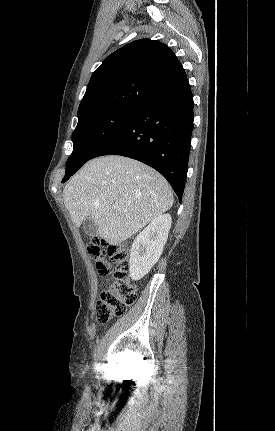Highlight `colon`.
<instances>
[{
  "mask_svg": "<svg viewBox=\"0 0 275 431\" xmlns=\"http://www.w3.org/2000/svg\"><path fill=\"white\" fill-rule=\"evenodd\" d=\"M88 253L95 260L100 275L114 276L95 308L96 321L105 323L123 315L137 299V288L128 274L130 251L125 245L109 246L103 239L94 237L88 245Z\"/></svg>",
  "mask_w": 275,
  "mask_h": 431,
  "instance_id": "obj_1",
  "label": "colon"
}]
</instances>
